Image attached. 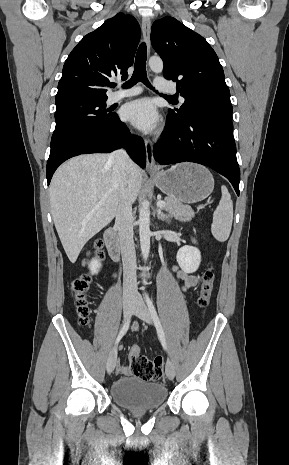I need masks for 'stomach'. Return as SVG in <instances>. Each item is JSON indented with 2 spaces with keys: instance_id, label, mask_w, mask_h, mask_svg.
<instances>
[{
  "instance_id": "1",
  "label": "stomach",
  "mask_w": 289,
  "mask_h": 465,
  "mask_svg": "<svg viewBox=\"0 0 289 465\" xmlns=\"http://www.w3.org/2000/svg\"><path fill=\"white\" fill-rule=\"evenodd\" d=\"M151 176L156 186L168 197L188 204L204 200L214 188L210 171L194 163L176 164Z\"/></svg>"
}]
</instances>
